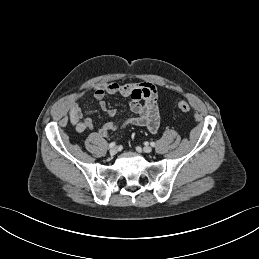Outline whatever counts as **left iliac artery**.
<instances>
[{
	"label": "left iliac artery",
	"mask_w": 259,
	"mask_h": 259,
	"mask_svg": "<svg viewBox=\"0 0 259 259\" xmlns=\"http://www.w3.org/2000/svg\"><path fill=\"white\" fill-rule=\"evenodd\" d=\"M150 145H151L152 147H154V146H155V143H154V142H151Z\"/></svg>",
	"instance_id": "44dca946"
}]
</instances>
